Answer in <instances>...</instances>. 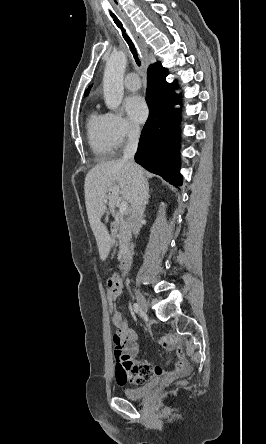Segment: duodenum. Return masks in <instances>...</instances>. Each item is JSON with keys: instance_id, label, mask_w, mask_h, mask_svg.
I'll use <instances>...</instances> for the list:
<instances>
[{"instance_id": "duodenum-1", "label": "duodenum", "mask_w": 266, "mask_h": 444, "mask_svg": "<svg viewBox=\"0 0 266 444\" xmlns=\"http://www.w3.org/2000/svg\"><path fill=\"white\" fill-rule=\"evenodd\" d=\"M120 272L122 275H128L130 272V255L127 253L120 261Z\"/></svg>"}]
</instances>
